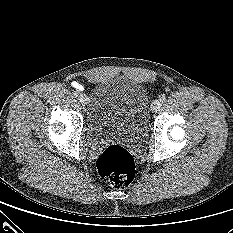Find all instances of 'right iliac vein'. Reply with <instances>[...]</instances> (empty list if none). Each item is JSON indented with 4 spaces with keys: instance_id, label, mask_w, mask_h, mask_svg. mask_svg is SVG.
<instances>
[{
    "instance_id": "obj_1",
    "label": "right iliac vein",
    "mask_w": 233,
    "mask_h": 233,
    "mask_svg": "<svg viewBox=\"0 0 233 233\" xmlns=\"http://www.w3.org/2000/svg\"><path fill=\"white\" fill-rule=\"evenodd\" d=\"M78 99L82 105H86L88 103V98L85 94H80Z\"/></svg>"
}]
</instances>
